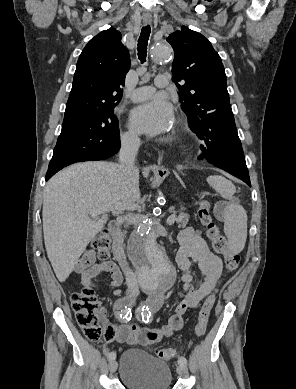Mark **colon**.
Wrapping results in <instances>:
<instances>
[{
    "mask_svg": "<svg viewBox=\"0 0 296 389\" xmlns=\"http://www.w3.org/2000/svg\"><path fill=\"white\" fill-rule=\"evenodd\" d=\"M198 217L206 229L207 237L211 241L214 251L224 257L226 270L228 272L235 271L239 266V255L229 250L226 238L220 234L212 220L210 205L207 201L200 203ZM92 247L97 252L98 258L106 262L111 250V237L109 233L102 231L96 235L92 240ZM70 301L77 323L88 340L92 342H99L101 340L110 341L115 337V329L107 324L92 285L89 284L74 291L71 294ZM214 301L215 295L211 294L206 298L199 311L198 322L195 327V335L198 337L203 336L206 332ZM157 354L163 360H171L178 356V351L174 348H164L160 349Z\"/></svg>",
    "mask_w": 296,
    "mask_h": 389,
    "instance_id": "obj_1",
    "label": "colon"
}]
</instances>
